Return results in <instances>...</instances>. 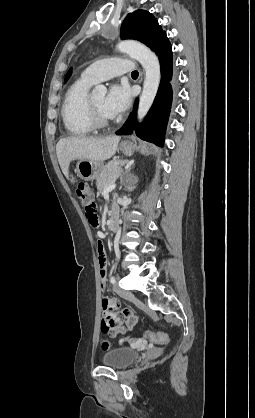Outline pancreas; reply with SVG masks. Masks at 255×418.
I'll use <instances>...</instances> for the list:
<instances>
[{"instance_id": "cf45deb5", "label": "pancreas", "mask_w": 255, "mask_h": 418, "mask_svg": "<svg viewBox=\"0 0 255 418\" xmlns=\"http://www.w3.org/2000/svg\"><path fill=\"white\" fill-rule=\"evenodd\" d=\"M125 163H127L126 160L114 159L104 166L96 182L97 189L100 193H102L107 186L112 184L119 177L122 172L119 165H123Z\"/></svg>"}]
</instances>
